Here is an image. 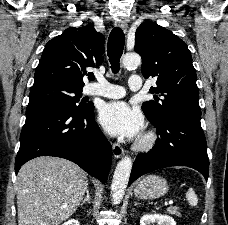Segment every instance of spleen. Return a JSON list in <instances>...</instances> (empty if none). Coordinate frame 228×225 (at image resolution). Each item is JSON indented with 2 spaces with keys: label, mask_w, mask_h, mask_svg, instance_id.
<instances>
[{
  "label": "spleen",
  "mask_w": 228,
  "mask_h": 225,
  "mask_svg": "<svg viewBox=\"0 0 228 225\" xmlns=\"http://www.w3.org/2000/svg\"><path fill=\"white\" fill-rule=\"evenodd\" d=\"M185 197H186L189 205H191V207H195V205H197L198 199H197L193 189H188Z\"/></svg>",
  "instance_id": "1"
}]
</instances>
